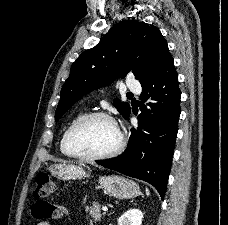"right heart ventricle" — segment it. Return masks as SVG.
Returning a JSON list of instances; mask_svg holds the SVG:
<instances>
[{"label":"right heart ventricle","instance_id":"e07e8e85","mask_svg":"<svg viewBox=\"0 0 228 225\" xmlns=\"http://www.w3.org/2000/svg\"><path fill=\"white\" fill-rule=\"evenodd\" d=\"M82 115H84V113H78L73 119L72 121L68 124V126L64 129L62 135H61V139H60V151L67 157H71L70 154L67 152L66 146H65V138H66V134L68 132V129L70 128V126Z\"/></svg>","mask_w":228,"mask_h":225}]
</instances>
